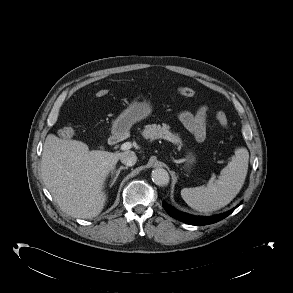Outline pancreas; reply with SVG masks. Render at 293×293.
<instances>
[{"mask_svg": "<svg viewBox=\"0 0 293 293\" xmlns=\"http://www.w3.org/2000/svg\"><path fill=\"white\" fill-rule=\"evenodd\" d=\"M142 136L145 139H159L163 138L168 140L176 145H178V149H181L182 141L178 135L173 134L169 130V126L166 124L161 125H146L145 129L142 131Z\"/></svg>", "mask_w": 293, "mask_h": 293, "instance_id": "pancreas-1", "label": "pancreas"}]
</instances>
